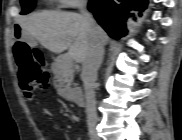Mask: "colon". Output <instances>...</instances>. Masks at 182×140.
<instances>
[{"instance_id": "1", "label": "colon", "mask_w": 182, "mask_h": 140, "mask_svg": "<svg viewBox=\"0 0 182 140\" xmlns=\"http://www.w3.org/2000/svg\"><path fill=\"white\" fill-rule=\"evenodd\" d=\"M17 61V71L24 95L32 99L37 88L44 87L48 80V71L44 57L38 49L26 43L17 42L13 49Z\"/></svg>"}]
</instances>
